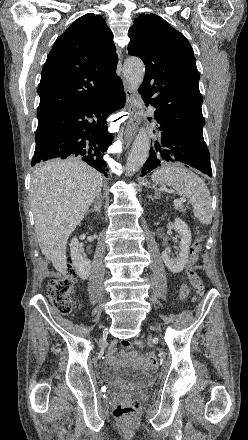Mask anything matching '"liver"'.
Segmentation results:
<instances>
[{
  "mask_svg": "<svg viewBox=\"0 0 248 440\" xmlns=\"http://www.w3.org/2000/svg\"><path fill=\"white\" fill-rule=\"evenodd\" d=\"M102 175L69 157L37 165L31 176L30 203L42 254L66 274L69 235L83 220L102 186Z\"/></svg>",
  "mask_w": 248,
  "mask_h": 440,
  "instance_id": "1",
  "label": "liver"
}]
</instances>
